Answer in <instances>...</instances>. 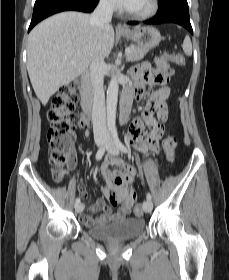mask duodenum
<instances>
[{
    "label": "duodenum",
    "instance_id": "1",
    "mask_svg": "<svg viewBox=\"0 0 229 280\" xmlns=\"http://www.w3.org/2000/svg\"><path fill=\"white\" fill-rule=\"evenodd\" d=\"M82 85L80 88V105L84 111V120L87 124L91 121V113L94 106V93H93V84L91 82V75L88 72H85L81 75ZM133 95L130 93L124 92L121 97V123H126L130 111H131V102Z\"/></svg>",
    "mask_w": 229,
    "mask_h": 280
}]
</instances>
